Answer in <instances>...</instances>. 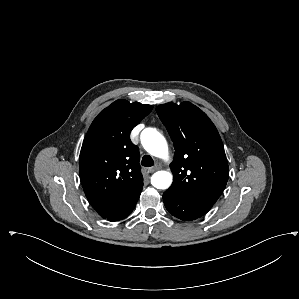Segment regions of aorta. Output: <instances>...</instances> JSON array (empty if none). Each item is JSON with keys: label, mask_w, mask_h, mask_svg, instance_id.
<instances>
[{"label": "aorta", "mask_w": 299, "mask_h": 299, "mask_svg": "<svg viewBox=\"0 0 299 299\" xmlns=\"http://www.w3.org/2000/svg\"><path fill=\"white\" fill-rule=\"evenodd\" d=\"M141 143L151 155L165 158L168 146L165 138L154 128H146L141 133ZM173 176L167 171H157L151 177V184L157 189H167L172 184Z\"/></svg>", "instance_id": "obj_1"}]
</instances>
